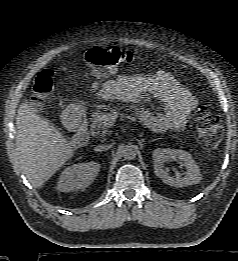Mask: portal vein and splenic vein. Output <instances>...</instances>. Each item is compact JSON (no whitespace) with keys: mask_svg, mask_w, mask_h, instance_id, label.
Wrapping results in <instances>:
<instances>
[{"mask_svg":"<svg viewBox=\"0 0 238 261\" xmlns=\"http://www.w3.org/2000/svg\"><path fill=\"white\" fill-rule=\"evenodd\" d=\"M104 124L107 126H112L115 121V116L113 114H105L103 116Z\"/></svg>","mask_w":238,"mask_h":261,"instance_id":"1","label":"portal vein and splenic vein"}]
</instances>
